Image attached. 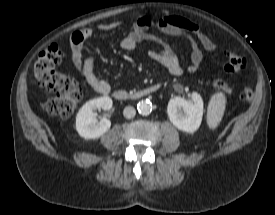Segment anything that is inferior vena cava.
<instances>
[{
    "label": "inferior vena cava",
    "instance_id": "602c4592",
    "mask_svg": "<svg viewBox=\"0 0 275 215\" xmlns=\"http://www.w3.org/2000/svg\"><path fill=\"white\" fill-rule=\"evenodd\" d=\"M135 114H136V110L132 106H127L123 110L124 117H126L128 119L133 118L135 116Z\"/></svg>",
    "mask_w": 275,
    "mask_h": 215
}]
</instances>
